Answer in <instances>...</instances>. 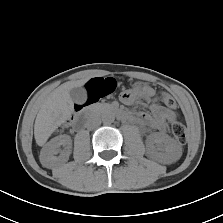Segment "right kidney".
I'll use <instances>...</instances> for the list:
<instances>
[{
	"label": "right kidney",
	"mask_w": 223,
	"mask_h": 223,
	"mask_svg": "<svg viewBox=\"0 0 223 223\" xmlns=\"http://www.w3.org/2000/svg\"><path fill=\"white\" fill-rule=\"evenodd\" d=\"M64 149L61 150L60 147ZM71 139L68 135H60L53 138L42 148L40 161L43 166L51 168L57 162H66L70 156ZM57 154H59L57 156Z\"/></svg>",
	"instance_id": "obj_1"
}]
</instances>
